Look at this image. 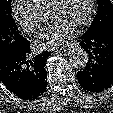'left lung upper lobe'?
Segmentation results:
<instances>
[{
  "label": "left lung upper lobe",
  "mask_w": 113,
  "mask_h": 113,
  "mask_svg": "<svg viewBox=\"0 0 113 113\" xmlns=\"http://www.w3.org/2000/svg\"><path fill=\"white\" fill-rule=\"evenodd\" d=\"M98 12L86 33H97L113 28V5L110 0H97Z\"/></svg>",
  "instance_id": "obj_1"
}]
</instances>
